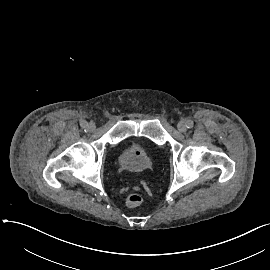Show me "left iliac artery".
<instances>
[{"label":"left iliac artery","instance_id":"1","mask_svg":"<svg viewBox=\"0 0 270 270\" xmlns=\"http://www.w3.org/2000/svg\"><path fill=\"white\" fill-rule=\"evenodd\" d=\"M193 125H194V123H193V121H192V120H188V121L186 122V126H187V128H192V127H193Z\"/></svg>","mask_w":270,"mask_h":270}]
</instances>
